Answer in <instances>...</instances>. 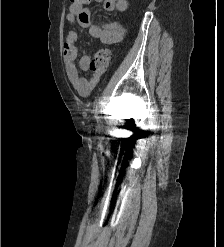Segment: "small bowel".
Masks as SVG:
<instances>
[{
	"mask_svg": "<svg viewBox=\"0 0 224 247\" xmlns=\"http://www.w3.org/2000/svg\"><path fill=\"white\" fill-rule=\"evenodd\" d=\"M93 1H103V6L106 11H117L123 13L128 8L127 0H85L81 7L70 6L66 14V21L74 24L77 23L81 28H88L89 34L96 39H99L105 44H112L122 40L124 29L118 22L100 23L91 17L90 11L85 8V5ZM78 34L76 31H70L63 44L64 63L67 77L81 96H87L98 84L101 74L94 73L91 77L85 78L81 75L80 70L86 71L90 69L91 57L89 54L82 52L79 55L76 41ZM78 66L75 60L78 58Z\"/></svg>",
	"mask_w": 224,
	"mask_h": 247,
	"instance_id": "1",
	"label": "small bowel"
}]
</instances>
